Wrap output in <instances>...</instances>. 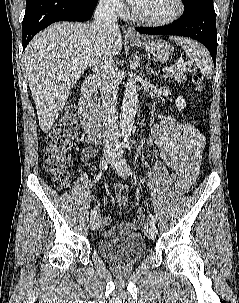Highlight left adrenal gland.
<instances>
[{"instance_id":"obj_1","label":"left adrenal gland","mask_w":239,"mask_h":303,"mask_svg":"<svg viewBox=\"0 0 239 303\" xmlns=\"http://www.w3.org/2000/svg\"><path fill=\"white\" fill-rule=\"evenodd\" d=\"M146 73L148 74V75H158V73L157 72H155L154 70H153V68H151L150 67V64L148 63L147 65H146Z\"/></svg>"}]
</instances>
